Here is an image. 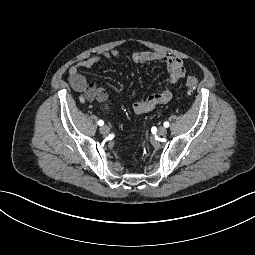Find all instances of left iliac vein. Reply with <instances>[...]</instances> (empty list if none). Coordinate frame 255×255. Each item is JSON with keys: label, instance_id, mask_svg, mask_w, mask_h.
Wrapping results in <instances>:
<instances>
[{"label": "left iliac vein", "instance_id": "4c4485c4", "mask_svg": "<svg viewBox=\"0 0 255 255\" xmlns=\"http://www.w3.org/2000/svg\"><path fill=\"white\" fill-rule=\"evenodd\" d=\"M158 134L163 136L167 133V129L165 127H159L158 130H157Z\"/></svg>", "mask_w": 255, "mask_h": 255}]
</instances>
